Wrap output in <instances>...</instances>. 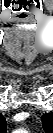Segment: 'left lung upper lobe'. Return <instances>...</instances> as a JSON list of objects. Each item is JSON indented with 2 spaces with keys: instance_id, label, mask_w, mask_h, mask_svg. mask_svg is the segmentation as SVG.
<instances>
[{
  "instance_id": "left-lung-upper-lobe-1",
  "label": "left lung upper lobe",
  "mask_w": 53,
  "mask_h": 133,
  "mask_svg": "<svg viewBox=\"0 0 53 133\" xmlns=\"http://www.w3.org/2000/svg\"><path fill=\"white\" fill-rule=\"evenodd\" d=\"M48 117H47V115H45V116H43L42 117V120H43V127H44V129L47 131V127L49 126V121H48Z\"/></svg>"
}]
</instances>
